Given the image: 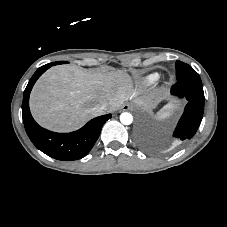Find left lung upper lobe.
<instances>
[{"mask_svg": "<svg viewBox=\"0 0 227 227\" xmlns=\"http://www.w3.org/2000/svg\"><path fill=\"white\" fill-rule=\"evenodd\" d=\"M176 79L177 81H191L202 83L198 73L188 64L177 61L176 64Z\"/></svg>", "mask_w": 227, "mask_h": 227, "instance_id": "obj_1", "label": "left lung upper lobe"}]
</instances>
